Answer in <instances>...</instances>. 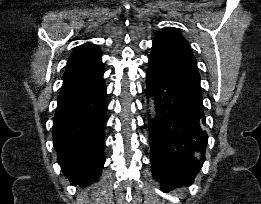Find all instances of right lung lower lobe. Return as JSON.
<instances>
[{
  "label": "right lung lower lobe",
  "instance_id": "right-lung-lower-lobe-1",
  "mask_svg": "<svg viewBox=\"0 0 261 204\" xmlns=\"http://www.w3.org/2000/svg\"><path fill=\"white\" fill-rule=\"evenodd\" d=\"M102 59L66 70L53 119L58 162L81 187L96 182L105 162L106 87Z\"/></svg>",
  "mask_w": 261,
  "mask_h": 204
}]
</instances>
